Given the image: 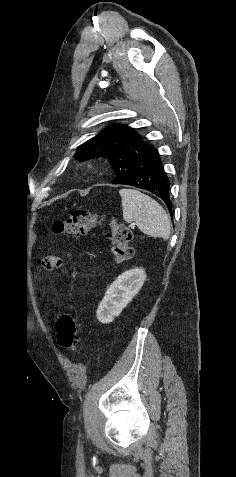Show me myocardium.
<instances>
[{"mask_svg": "<svg viewBox=\"0 0 236 477\" xmlns=\"http://www.w3.org/2000/svg\"><path fill=\"white\" fill-rule=\"evenodd\" d=\"M89 167L93 169V168H95V165H94L93 163H91V164L89 165Z\"/></svg>", "mask_w": 236, "mask_h": 477, "instance_id": "f54148a6", "label": "myocardium"}]
</instances>
